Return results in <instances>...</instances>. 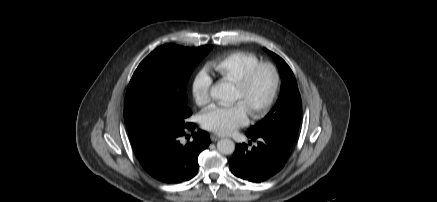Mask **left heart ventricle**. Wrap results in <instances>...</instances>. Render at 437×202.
Returning a JSON list of instances; mask_svg holds the SVG:
<instances>
[{
  "mask_svg": "<svg viewBox=\"0 0 437 202\" xmlns=\"http://www.w3.org/2000/svg\"><path fill=\"white\" fill-rule=\"evenodd\" d=\"M273 84V77L268 69H261L246 90L235 86L234 101L242 102L250 113L260 106L269 96Z\"/></svg>",
  "mask_w": 437,
  "mask_h": 202,
  "instance_id": "left-heart-ventricle-1",
  "label": "left heart ventricle"
}]
</instances>
